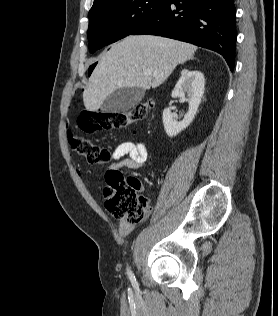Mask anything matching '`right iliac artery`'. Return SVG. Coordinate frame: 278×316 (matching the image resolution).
<instances>
[{
    "mask_svg": "<svg viewBox=\"0 0 278 316\" xmlns=\"http://www.w3.org/2000/svg\"><path fill=\"white\" fill-rule=\"evenodd\" d=\"M127 274H128L129 279L131 280V282H132L133 284H135V283H136V280H135V277H134L132 271H131V270H128V271H127Z\"/></svg>",
    "mask_w": 278,
    "mask_h": 316,
    "instance_id": "1",
    "label": "right iliac artery"
}]
</instances>
